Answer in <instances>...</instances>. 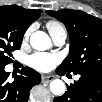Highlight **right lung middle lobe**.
Listing matches in <instances>:
<instances>
[{"label": "right lung middle lobe", "mask_w": 102, "mask_h": 102, "mask_svg": "<svg viewBox=\"0 0 102 102\" xmlns=\"http://www.w3.org/2000/svg\"><path fill=\"white\" fill-rule=\"evenodd\" d=\"M26 30L12 18L0 17V67L10 63L11 52L20 48Z\"/></svg>", "instance_id": "obj_1"}]
</instances>
